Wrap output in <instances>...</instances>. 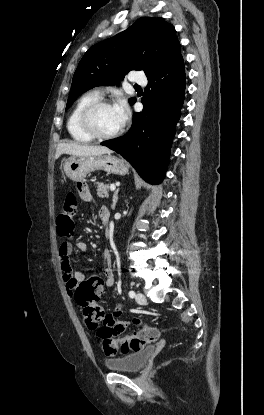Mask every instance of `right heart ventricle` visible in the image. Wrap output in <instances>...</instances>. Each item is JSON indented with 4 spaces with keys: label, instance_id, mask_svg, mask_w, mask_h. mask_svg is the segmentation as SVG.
<instances>
[{
    "label": "right heart ventricle",
    "instance_id": "obj_1",
    "mask_svg": "<svg viewBox=\"0 0 264 415\" xmlns=\"http://www.w3.org/2000/svg\"><path fill=\"white\" fill-rule=\"evenodd\" d=\"M99 100V95L95 92H89L81 96L76 104L74 105L73 109L71 110L68 120H67V130L69 135L79 143H89L92 142L94 139L87 135L79 124V116L82 110L95 101Z\"/></svg>",
    "mask_w": 264,
    "mask_h": 415
}]
</instances>
